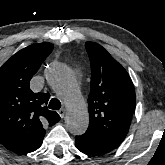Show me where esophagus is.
<instances>
[{
  "instance_id": "1",
  "label": "esophagus",
  "mask_w": 165,
  "mask_h": 165,
  "mask_svg": "<svg viewBox=\"0 0 165 165\" xmlns=\"http://www.w3.org/2000/svg\"><path fill=\"white\" fill-rule=\"evenodd\" d=\"M58 114L60 115L61 118H64L65 116V110L64 109H61L58 111Z\"/></svg>"
}]
</instances>
